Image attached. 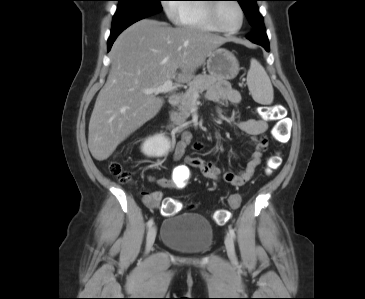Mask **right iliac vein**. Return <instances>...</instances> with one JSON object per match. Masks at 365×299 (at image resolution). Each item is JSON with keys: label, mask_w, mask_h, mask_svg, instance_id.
<instances>
[{"label": "right iliac vein", "mask_w": 365, "mask_h": 299, "mask_svg": "<svg viewBox=\"0 0 365 299\" xmlns=\"http://www.w3.org/2000/svg\"><path fill=\"white\" fill-rule=\"evenodd\" d=\"M155 238H156V227L151 226L149 228L147 238H146V253H149L150 250L152 249V246L155 242Z\"/></svg>", "instance_id": "right-iliac-vein-1"}]
</instances>
